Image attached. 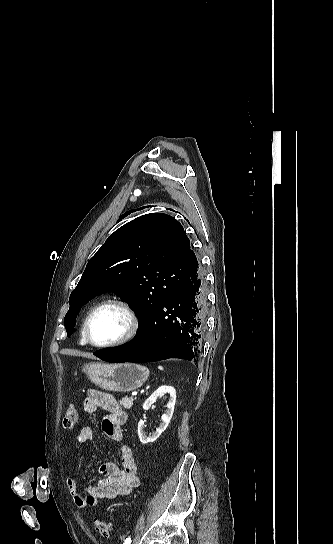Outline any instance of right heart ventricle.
Wrapping results in <instances>:
<instances>
[{"instance_id":"obj_1","label":"right heart ventricle","mask_w":333,"mask_h":544,"mask_svg":"<svg viewBox=\"0 0 333 544\" xmlns=\"http://www.w3.org/2000/svg\"><path fill=\"white\" fill-rule=\"evenodd\" d=\"M80 343H81L82 345H86V344H87L86 341H85V339H84V336H83V327H82V329H81Z\"/></svg>"}]
</instances>
